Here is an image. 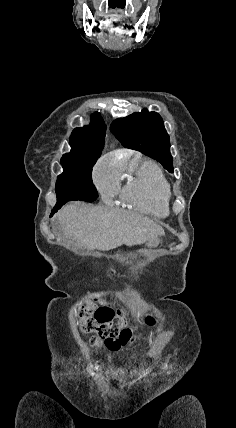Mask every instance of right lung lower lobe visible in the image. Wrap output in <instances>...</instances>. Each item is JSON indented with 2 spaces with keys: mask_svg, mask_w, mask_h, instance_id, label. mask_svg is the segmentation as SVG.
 I'll use <instances>...</instances> for the list:
<instances>
[{
  "mask_svg": "<svg viewBox=\"0 0 236 428\" xmlns=\"http://www.w3.org/2000/svg\"><path fill=\"white\" fill-rule=\"evenodd\" d=\"M58 210V209H57ZM57 210H52V212H51V216L55 213V212H57Z\"/></svg>",
  "mask_w": 236,
  "mask_h": 428,
  "instance_id": "98d812e1",
  "label": "right lung lower lobe"
}]
</instances>
